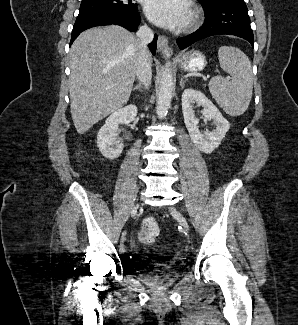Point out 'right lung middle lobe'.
I'll use <instances>...</instances> for the list:
<instances>
[{"label":"right lung middle lobe","instance_id":"dd1d6c3e","mask_svg":"<svg viewBox=\"0 0 298 325\" xmlns=\"http://www.w3.org/2000/svg\"><path fill=\"white\" fill-rule=\"evenodd\" d=\"M111 10L135 11L137 4L132 0H82L79 15Z\"/></svg>","mask_w":298,"mask_h":325}]
</instances>
